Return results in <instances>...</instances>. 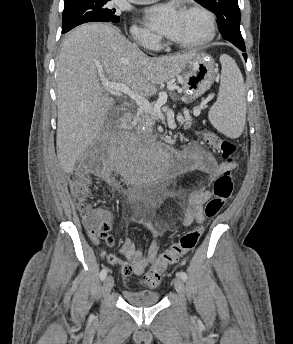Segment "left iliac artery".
Masks as SVG:
<instances>
[{"label": "left iliac artery", "instance_id": "obj_1", "mask_svg": "<svg viewBox=\"0 0 293 344\" xmlns=\"http://www.w3.org/2000/svg\"><path fill=\"white\" fill-rule=\"evenodd\" d=\"M177 276L180 277L183 281L187 280V274L184 271L178 272Z\"/></svg>", "mask_w": 293, "mask_h": 344}]
</instances>
